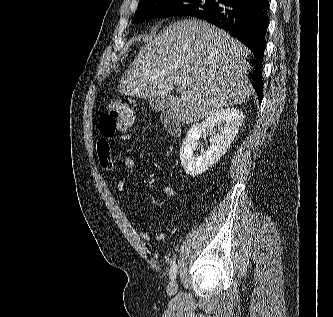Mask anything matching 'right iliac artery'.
I'll list each match as a JSON object with an SVG mask.
<instances>
[{
  "label": "right iliac artery",
  "mask_w": 333,
  "mask_h": 317,
  "mask_svg": "<svg viewBox=\"0 0 333 317\" xmlns=\"http://www.w3.org/2000/svg\"><path fill=\"white\" fill-rule=\"evenodd\" d=\"M169 275H170L171 280H174L177 276V265H176L175 260H173L171 262V269H170Z\"/></svg>",
  "instance_id": "82829eb1"
}]
</instances>
